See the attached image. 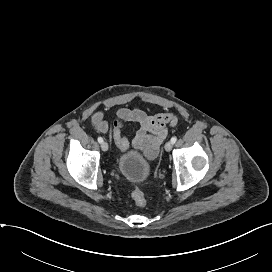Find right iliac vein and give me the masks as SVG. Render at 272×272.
Masks as SVG:
<instances>
[{"mask_svg":"<svg viewBox=\"0 0 272 272\" xmlns=\"http://www.w3.org/2000/svg\"><path fill=\"white\" fill-rule=\"evenodd\" d=\"M108 148H109V146H108V143H107V142H102V143H101V149H102L103 151H107Z\"/></svg>","mask_w":272,"mask_h":272,"instance_id":"obj_1","label":"right iliac vein"}]
</instances>
